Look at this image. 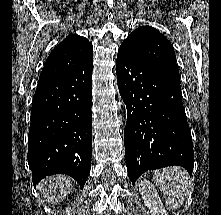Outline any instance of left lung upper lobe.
Masks as SVG:
<instances>
[{
  "mask_svg": "<svg viewBox=\"0 0 221 215\" xmlns=\"http://www.w3.org/2000/svg\"><path fill=\"white\" fill-rule=\"evenodd\" d=\"M142 61L167 76L180 81L175 53L170 42L155 28L141 26L121 44Z\"/></svg>",
  "mask_w": 221,
  "mask_h": 215,
  "instance_id": "5c2ea615",
  "label": "left lung upper lobe"
}]
</instances>
